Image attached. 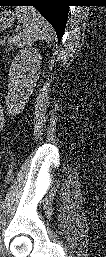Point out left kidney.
<instances>
[{
    "mask_svg": "<svg viewBox=\"0 0 106 257\" xmlns=\"http://www.w3.org/2000/svg\"><path fill=\"white\" fill-rule=\"evenodd\" d=\"M41 55L37 49L25 48L14 57L9 70V93L6 105L11 111L22 109L39 77Z\"/></svg>",
    "mask_w": 106,
    "mask_h": 257,
    "instance_id": "obj_1",
    "label": "left kidney"
}]
</instances>
